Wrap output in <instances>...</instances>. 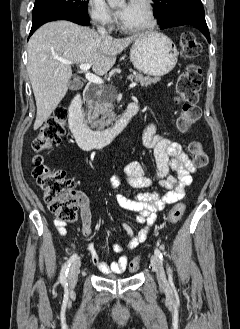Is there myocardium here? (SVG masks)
Listing matches in <instances>:
<instances>
[{
	"label": "myocardium",
	"instance_id": "f54148a6",
	"mask_svg": "<svg viewBox=\"0 0 240 329\" xmlns=\"http://www.w3.org/2000/svg\"><path fill=\"white\" fill-rule=\"evenodd\" d=\"M140 2L145 6L147 11V22L140 26H127L121 20L119 23V27L122 31L127 33H142L153 29L156 25V13L155 8L152 3V0H140Z\"/></svg>",
	"mask_w": 240,
	"mask_h": 329
}]
</instances>
